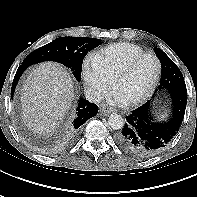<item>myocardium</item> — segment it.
<instances>
[{
    "label": "myocardium",
    "mask_w": 197,
    "mask_h": 197,
    "mask_svg": "<svg viewBox=\"0 0 197 197\" xmlns=\"http://www.w3.org/2000/svg\"><path fill=\"white\" fill-rule=\"evenodd\" d=\"M145 58H152L155 60L156 65H157V73L156 76L154 78L153 83L151 84L150 88L141 96L134 98L132 100L129 101H125L124 104L126 106H135L138 104H141L143 102H145L146 100H148L155 92L160 78H161V73H162V65H161V61L158 58V56H156L153 53H143L141 55H138L136 57H134L129 63H127L115 76L114 78V88L116 89L118 83L125 78L126 76H128L133 69L136 67V65L143 59Z\"/></svg>",
    "instance_id": "1"
}]
</instances>
